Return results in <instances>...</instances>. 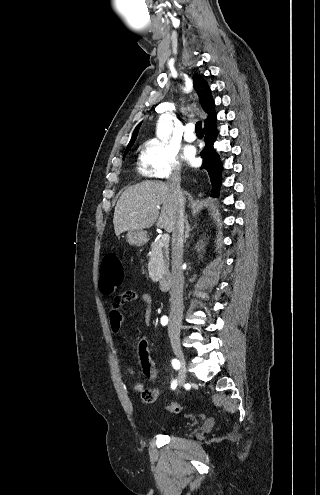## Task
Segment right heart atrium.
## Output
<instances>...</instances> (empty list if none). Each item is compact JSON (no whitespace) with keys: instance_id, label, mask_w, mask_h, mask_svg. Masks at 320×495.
Here are the masks:
<instances>
[{"instance_id":"1","label":"right heart atrium","mask_w":320,"mask_h":495,"mask_svg":"<svg viewBox=\"0 0 320 495\" xmlns=\"http://www.w3.org/2000/svg\"><path fill=\"white\" fill-rule=\"evenodd\" d=\"M140 168L149 177L167 179L180 173L181 164L172 145L151 140L144 145L141 152Z\"/></svg>"}]
</instances>
